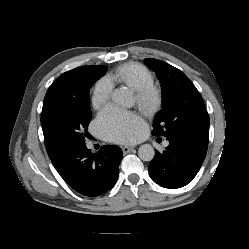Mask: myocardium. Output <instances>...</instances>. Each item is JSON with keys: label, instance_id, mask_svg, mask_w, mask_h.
Returning <instances> with one entry per match:
<instances>
[{"label": "myocardium", "instance_id": "myocardium-1", "mask_svg": "<svg viewBox=\"0 0 249 249\" xmlns=\"http://www.w3.org/2000/svg\"><path fill=\"white\" fill-rule=\"evenodd\" d=\"M136 106L145 116L157 113L163 105V92L155 85L145 86L135 91Z\"/></svg>", "mask_w": 249, "mask_h": 249}]
</instances>
